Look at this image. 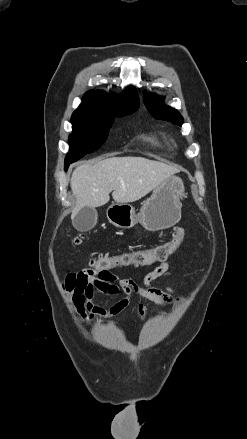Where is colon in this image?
Here are the masks:
<instances>
[{
	"mask_svg": "<svg viewBox=\"0 0 247 439\" xmlns=\"http://www.w3.org/2000/svg\"><path fill=\"white\" fill-rule=\"evenodd\" d=\"M185 236V228L178 227L172 238L161 245L150 249H143L123 253L121 255H100L88 260L89 268L96 272H103L115 267L146 266L155 262L167 261L177 250ZM84 240L83 235L75 238L74 244L80 245Z\"/></svg>",
	"mask_w": 247,
	"mask_h": 439,
	"instance_id": "colon-1",
	"label": "colon"
}]
</instances>
